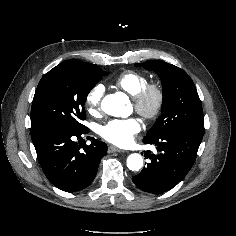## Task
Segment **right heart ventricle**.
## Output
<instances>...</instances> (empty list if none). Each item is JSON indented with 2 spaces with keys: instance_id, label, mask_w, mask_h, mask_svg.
<instances>
[{
  "instance_id": "e07e8e85",
  "label": "right heart ventricle",
  "mask_w": 236,
  "mask_h": 236,
  "mask_svg": "<svg viewBox=\"0 0 236 236\" xmlns=\"http://www.w3.org/2000/svg\"><path fill=\"white\" fill-rule=\"evenodd\" d=\"M147 84L148 77L143 73L133 70L121 73L115 80V85L131 96H135Z\"/></svg>"
}]
</instances>
